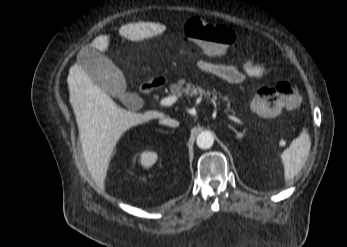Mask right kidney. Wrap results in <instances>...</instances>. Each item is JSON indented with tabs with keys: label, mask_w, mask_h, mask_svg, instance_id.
I'll use <instances>...</instances> for the list:
<instances>
[{
	"label": "right kidney",
	"mask_w": 347,
	"mask_h": 247,
	"mask_svg": "<svg viewBox=\"0 0 347 247\" xmlns=\"http://www.w3.org/2000/svg\"><path fill=\"white\" fill-rule=\"evenodd\" d=\"M157 159L158 155L153 151H144L140 155V163L143 167L147 169L154 165Z\"/></svg>",
	"instance_id": "obj_1"
}]
</instances>
